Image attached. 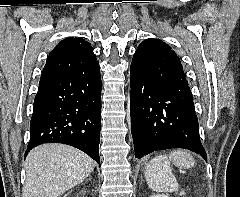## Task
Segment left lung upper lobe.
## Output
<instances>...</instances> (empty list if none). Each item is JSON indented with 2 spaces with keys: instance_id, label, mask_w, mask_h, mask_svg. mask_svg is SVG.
<instances>
[{
  "instance_id": "5c2ea615",
  "label": "left lung upper lobe",
  "mask_w": 240,
  "mask_h": 197,
  "mask_svg": "<svg viewBox=\"0 0 240 197\" xmlns=\"http://www.w3.org/2000/svg\"><path fill=\"white\" fill-rule=\"evenodd\" d=\"M131 67L143 72L157 69L185 77L176 53L171 50L169 45L158 39H147L138 46Z\"/></svg>"
}]
</instances>
